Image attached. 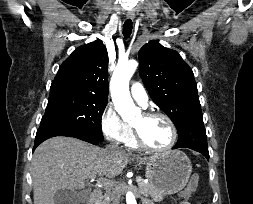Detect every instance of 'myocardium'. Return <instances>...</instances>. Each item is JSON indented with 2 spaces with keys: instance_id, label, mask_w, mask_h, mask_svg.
Instances as JSON below:
<instances>
[{
  "instance_id": "1",
  "label": "myocardium",
  "mask_w": 253,
  "mask_h": 204,
  "mask_svg": "<svg viewBox=\"0 0 253 204\" xmlns=\"http://www.w3.org/2000/svg\"><path fill=\"white\" fill-rule=\"evenodd\" d=\"M145 118H154V117H160V118H163L169 125L170 129H171V140L170 142L168 143V145H166L165 147L163 148H154V147H151L150 145H148L140 131L135 127L133 126V130H134V137H135V140L138 144V146L144 150H147L149 152H154V153H164V152H167L169 150H171L176 142H177V138H178V132H177V128L174 124V122L172 121V119L166 115L165 113H162V112H156V111H152V112H145L142 114Z\"/></svg>"
}]
</instances>
